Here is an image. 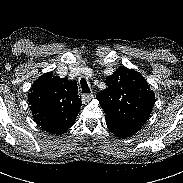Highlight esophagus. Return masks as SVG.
Returning a JSON list of instances; mask_svg holds the SVG:
<instances>
[{
	"instance_id": "esophagus-1",
	"label": "esophagus",
	"mask_w": 183,
	"mask_h": 183,
	"mask_svg": "<svg viewBox=\"0 0 183 183\" xmlns=\"http://www.w3.org/2000/svg\"><path fill=\"white\" fill-rule=\"evenodd\" d=\"M93 94H83L82 95V102L85 104L87 102H89L92 98H93Z\"/></svg>"
}]
</instances>
